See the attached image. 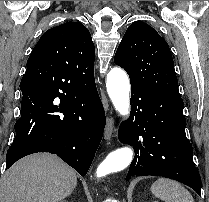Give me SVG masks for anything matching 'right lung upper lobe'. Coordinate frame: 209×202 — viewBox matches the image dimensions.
Masks as SVG:
<instances>
[{
  "mask_svg": "<svg viewBox=\"0 0 209 202\" xmlns=\"http://www.w3.org/2000/svg\"><path fill=\"white\" fill-rule=\"evenodd\" d=\"M95 48L88 29L66 22L47 30L27 61V69H46L63 86L83 89L95 83Z\"/></svg>",
  "mask_w": 209,
  "mask_h": 202,
  "instance_id": "right-lung-upper-lobe-1",
  "label": "right lung upper lobe"
}]
</instances>
